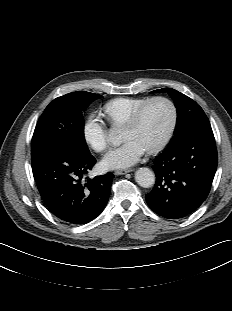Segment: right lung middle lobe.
<instances>
[{
    "instance_id": "right-lung-middle-lobe-1",
    "label": "right lung middle lobe",
    "mask_w": 232,
    "mask_h": 311,
    "mask_svg": "<svg viewBox=\"0 0 232 311\" xmlns=\"http://www.w3.org/2000/svg\"><path fill=\"white\" fill-rule=\"evenodd\" d=\"M99 94L77 91L54 99L44 110L35 127L31 151L57 146L89 155L84 134L82 112Z\"/></svg>"
}]
</instances>
